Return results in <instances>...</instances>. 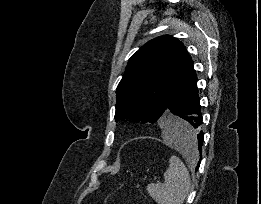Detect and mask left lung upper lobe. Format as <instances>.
I'll use <instances>...</instances> for the list:
<instances>
[{
    "mask_svg": "<svg viewBox=\"0 0 261 204\" xmlns=\"http://www.w3.org/2000/svg\"><path fill=\"white\" fill-rule=\"evenodd\" d=\"M192 65L178 39L164 35L147 42L130 58L117 87L116 122L162 118Z\"/></svg>",
    "mask_w": 261,
    "mask_h": 204,
    "instance_id": "left-lung-upper-lobe-1",
    "label": "left lung upper lobe"
}]
</instances>
